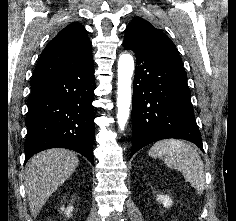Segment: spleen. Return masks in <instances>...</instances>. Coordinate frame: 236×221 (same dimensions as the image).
<instances>
[{
	"label": "spleen",
	"mask_w": 236,
	"mask_h": 221,
	"mask_svg": "<svg viewBox=\"0 0 236 221\" xmlns=\"http://www.w3.org/2000/svg\"><path fill=\"white\" fill-rule=\"evenodd\" d=\"M149 155L164 158V163L168 167L179 170L197 192H203L204 164L198 152L190 144L178 139L160 140L150 148Z\"/></svg>",
	"instance_id": "1"
}]
</instances>
